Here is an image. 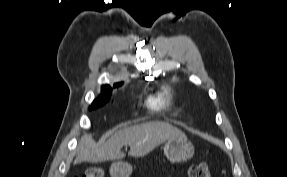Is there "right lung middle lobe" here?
<instances>
[{"mask_svg": "<svg viewBox=\"0 0 287 177\" xmlns=\"http://www.w3.org/2000/svg\"><path fill=\"white\" fill-rule=\"evenodd\" d=\"M110 93H111L110 87H102V94L99 96V98L96 101L93 102L92 107H90V110L95 109L103 105L105 102H107L109 100Z\"/></svg>", "mask_w": 287, "mask_h": 177, "instance_id": "1", "label": "right lung middle lobe"}]
</instances>
